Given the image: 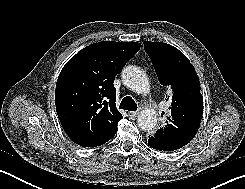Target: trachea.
Returning a JSON list of instances; mask_svg holds the SVG:
<instances>
[{
	"label": "trachea",
	"instance_id": "3493384b",
	"mask_svg": "<svg viewBox=\"0 0 245 189\" xmlns=\"http://www.w3.org/2000/svg\"><path fill=\"white\" fill-rule=\"evenodd\" d=\"M119 108L123 109V110H128V111H136L137 110V104L132 99V97L127 96V97L122 99Z\"/></svg>",
	"mask_w": 245,
	"mask_h": 189
}]
</instances>
